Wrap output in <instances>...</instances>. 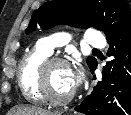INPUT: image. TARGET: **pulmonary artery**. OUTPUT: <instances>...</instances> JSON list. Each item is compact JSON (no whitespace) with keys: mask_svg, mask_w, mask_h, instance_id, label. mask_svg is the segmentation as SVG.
Returning a JSON list of instances; mask_svg holds the SVG:
<instances>
[{"mask_svg":"<svg viewBox=\"0 0 131 115\" xmlns=\"http://www.w3.org/2000/svg\"><path fill=\"white\" fill-rule=\"evenodd\" d=\"M66 39L67 37L64 34L47 36L39 41V47L51 54L54 47L61 46L66 42ZM84 40L87 45L92 47L103 48L105 46L104 36L96 30H88Z\"/></svg>","mask_w":131,"mask_h":115,"instance_id":"e3ab8cb5","label":"pulmonary artery"}]
</instances>
